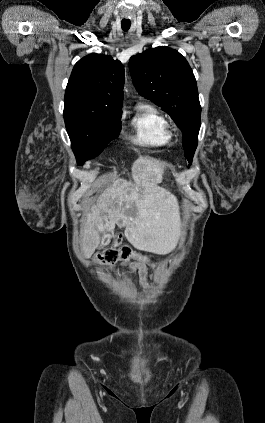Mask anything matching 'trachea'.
<instances>
[{"label": "trachea", "instance_id": "obj_1", "mask_svg": "<svg viewBox=\"0 0 265 423\" xmlns=\"http://www.w3.org/2000/svg\"><path fill=\"white\" fill-rule=\"evenodd\" d=\"M130 26H131V21H129V20H122L121 21V27H122V30L124 32H127L129 30Z\"/></svg>", "mask_w": 265, "mask_h": 423}]
</instances>
